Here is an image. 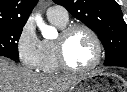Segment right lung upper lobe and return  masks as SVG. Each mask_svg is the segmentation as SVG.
I'll return each instance as SVG.
<instances>
[{"instance_id": "1", "label": "right lung upper lobe", "mask_w": 127, "mask_h": 92, "mask_svg": "<svg viewBox=\"0 0 127 92\" xmlns=\"http://www.w3.org/2000/svg\"><path fill=\"white\" fill-rule=\"evenodd\" d=\"M38 0H0V27L24 26Z\"/></svg>"}]
</instances>
